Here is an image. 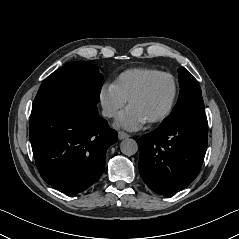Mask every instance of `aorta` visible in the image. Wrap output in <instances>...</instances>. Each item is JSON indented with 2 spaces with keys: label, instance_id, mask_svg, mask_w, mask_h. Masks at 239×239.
<instances>
[{
  "label": "aorta",
  "instance_id": "762f6f07",
  "mask_svg": "<svg viewBox=\"0 0 239 239\" xmlns=\"http://www.w3.org/2000/svg\"><path fill=\"white\" fill-rule=\"evenodd\" d=\"M120 150L124 155L132 156L138 151V144L134 139L126 138L120 143Z\"/></svg>",
  "mask_w": 239,
  "mask_h": 239
}]
</instances>
